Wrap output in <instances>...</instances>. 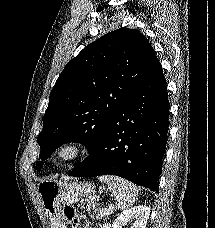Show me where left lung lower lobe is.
<instances>
[{"mask_svg": "<svg viewBox=\"0 0 215 228\" xmlns=\"http://www.w3.org/2000/svg\"><path fill=\"white\" fill-rule=\"evenodd\" d=\"M168 118L166 80L155 57L150 70L106 126L89 156L68 175H116L158 193Z\"/></svg>", "mask_w": 215, "mask_h": 228, "instance_id": "0a47b994", "label": "left lung lower lobe"}]
</instances>
